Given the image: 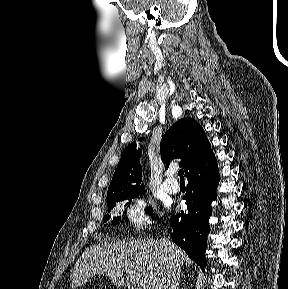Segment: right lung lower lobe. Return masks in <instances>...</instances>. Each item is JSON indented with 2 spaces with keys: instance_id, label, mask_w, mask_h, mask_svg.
I'll list each match as a JSON object with an SVG mask.
<instances>
[{
  "instance_id": "98d812e1",
  "label": "right lung lower lobe",
  "mask_w": 288,
  "mask_h": 289,
  "mask_svg": "<svg viewBox=\"0 0 288 289\" xmlns=\"http://www.w3.org/2000/svg\"><path fill=\"white\" fill-rule=\"evenodd\" d=\"M188 185L183 199L188 213L171 215L172 240L198 265H206L205 248L210 230L211 202L216 198L219 172L214 154H211L187 175Z\"/></svg>"
}]
</instances>
